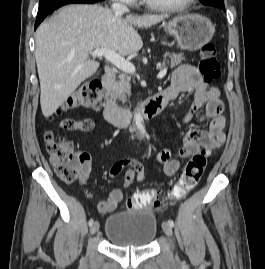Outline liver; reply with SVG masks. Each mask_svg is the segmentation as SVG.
Returning <instances> with one entry per match:
<instances>
[{
  "label": "liver",
  "mask_w": 265,
  "mask_h": 269,
  "mask_svg": "<svg viewBox=\"0 0 265 269\" xmlns=\"http://www.w3.org/2000/svg\"><path fill=\"white\" fill-rule=\"evenodd\" d=\"M168 15H115L99 5H67L36 31L35 58L40 80V104L52 115L99 68L90 58L95 49L121 55L138 52L143 42L135 27L148 28Z\"/></svg>",
  "instance_id": "obj_1"
}]
</instances>
